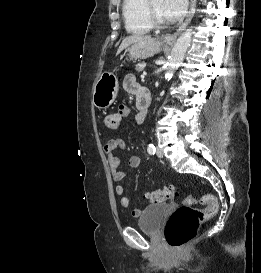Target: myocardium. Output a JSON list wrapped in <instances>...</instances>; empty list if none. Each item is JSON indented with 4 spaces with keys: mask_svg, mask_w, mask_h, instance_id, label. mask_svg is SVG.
Segmentation results:
<instances>
[{
    "mask_svg": "<svg viewBox=\"0 0 261 273\" xmlns=\"http://www.w3.org/2000/svg\"><path fill=\"white\" fill-rule=\"evenodd\" d=\"M146 11L149 21L151 22L153 28L163 29L168 26V23L162 21L159 16L157 15L152 0H146Z\"/></svg>",
    "mask_w": 261,
    "mask_h": 273,
    "instance_id": "1",
    "label": "myocardium"
}]
</instances>
